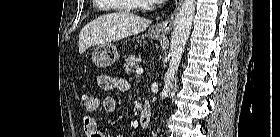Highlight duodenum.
Returning <instances> with one entry per match:
<instances>
[{
    "label": "duodenum",
    "instance_id": "obj_1",
    "mask_svg": "<svg viewBox=\"0 0 280 137\" xmlns=\"http://www.w3.org/2000/svg\"><path fill=\"white\" fill-rule=\"evenodd\" d=\"M152 119V112L149 105L146 103L143 110L139 114V123L142 128H147Z\"/></svg>",
    "mask_w": 280,
    "mask_h": 137
}]
</instances>
